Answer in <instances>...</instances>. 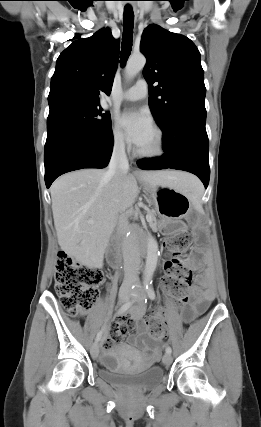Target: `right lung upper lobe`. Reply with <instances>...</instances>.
<instances>
[{
  "label": "right lung upper lobe",
  "mask_w": 261,
  "mask_h": 427,
  "mask_svg": "<svg viewBox=\"0 0 261 427\" xmlns=\"http://www.w3.org/2000/svg\"><path fill=\"white\" fill-rule=\"evenodd\" d=\"M119 41L109 29L73 42L57 59L51 78L50 109L67 104L99 105L110 94L118 65Z\"/></svg>",
  "instance_id": "obj_1"
}]
</instances>
